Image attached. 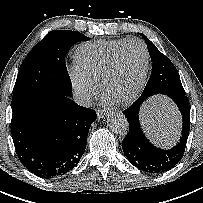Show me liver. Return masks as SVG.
Wrapping results in <instances>:
<instances>
[{"label":"liver","mask_w":203,"mask_h":203,"mask_svg":"<svg viewBox=\"0 0 203 203\" xmlns=\"http://www.w3.org/2000/svg\"><path fill=\"white\" fill-rule=\"evenodd\" d=\"M177 119L176 111L170 105L163 104L157 109L149 107L148 114L143 116V123L154 142L167 146L177 138L179 127Z\"/></svg>","instance_id":"1"}]
</instances>
